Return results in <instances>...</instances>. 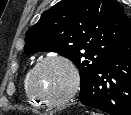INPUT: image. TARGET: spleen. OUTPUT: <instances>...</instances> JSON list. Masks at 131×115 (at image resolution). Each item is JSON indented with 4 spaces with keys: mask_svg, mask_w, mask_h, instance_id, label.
I'll return each instance as SVG.
<instances>
[{
    "mask_svg": "<svg viewBox=\"0 0 131 115\" xmlns=\"http://www.w3.org/2000/svg\"><path fill=\"white\" fill-rule=\"evenodd\" d=\"M92 115H99V114L92 113Z\"/></svg>",
    "mask_w": 131,
    "mask_h": 115,
    "instance_id": "obj_1",
    "label": "spleen"
}]
</instances>
